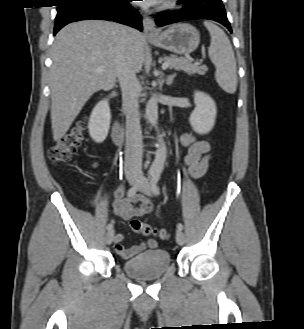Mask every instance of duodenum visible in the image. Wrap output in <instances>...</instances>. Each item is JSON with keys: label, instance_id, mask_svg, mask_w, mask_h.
Instances as JSON below:
<instances>
[{"label": "duodenum", "instance_id": "1", "mask_svg": "<svg viewBox=\"0 0 304 329\" xmlns=\"http://www.w3.org/2000/svg\"><path fill=\"white\" fill-rule=\"evenodd\" d=\"M112 138L113 141L117 144L120 145L123 140V128L122 124L118 119H115L112 127Z\"/></svg>", "mask_w": 304, "mask_h": 329}]
</instances>
